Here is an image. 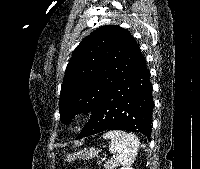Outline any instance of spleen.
Returning a JSON list of instances; mask_svg holds the SVG:
<instances>
[{
    "label": "spleen",
    "mask_w": 200,
    "mask_h": 169,
    "mask_svg": "<svg viewBox=\"0 0 200 169\" xmlns=\"http://www.w3.org/2000/svg\"><path fill=\"white\" fill-rule=\"evenodd\" d=\"M103 138L111 140L109 150L116 154V160L120 164L131 165L133 163L140 146V141L134 134L112 130L106 132Z\"/></svg>",
    "instance_id": "obj_1"
}]
</instances>
